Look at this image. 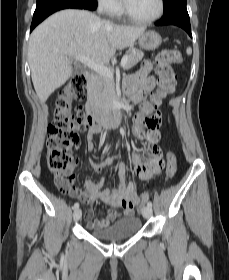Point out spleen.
Segmentation results:
<instances>
[{"label": "spleen", "instance_id": "obj_1", "mask_svg": "<svg viewBox=\"0 0 229 280\" xmlns=\"http://www.w3.org/2000/svg\"><path fill=\"white\" fill-rule=\"evenodd\" d=\"M187 53H190V48L187 49Z\"/></svg>", "mask_w": 229, "mask_h": 280}]
</instances>
